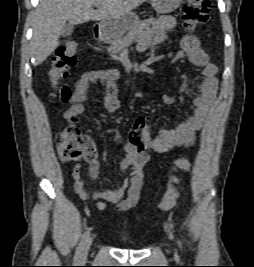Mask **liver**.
<instances>
[{"mask_svg": "<svg viewBox=\"0 0 254 267\" xmlns=\"http://www.w3.org/2000/svg\"><path fill=\"white\" fill-rule=\"evenodd\" d=\"M147 0H40L33 20L30 43L34 66L44 62L60 45L66 22L82 24L90 20L117 19L129 14ZM98 3L97 10L93 6Z\"/></svg>", "mask_w": 254, "mask_h": 267, "instance_id": "liver-1", "label": "liver"}]
</instances>
